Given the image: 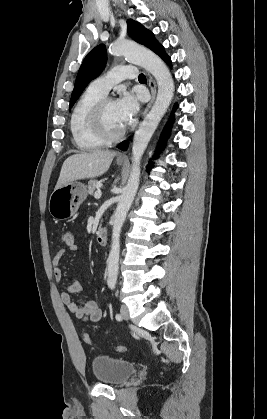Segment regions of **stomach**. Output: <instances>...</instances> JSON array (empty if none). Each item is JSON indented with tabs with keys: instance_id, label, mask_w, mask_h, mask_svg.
<instances>
[{
	"instance_id": "stomach-1",
	"label": "stomach",
	"mask_w": 267,
	"mask_h": 419,
	"mask_svg": "<svg viewBox=\"0 0 267 419\" xmlns=\"http://www.w3.org/2000/svg\"><path fill=\"white\" fill-rule=\"evenodd\" d=\"M123 163V161L117 160L118 165ZM86 197V186L81 182L72 181L52 192L49 199V212L54 219H68L75 215Z\"/></svg>"
}]
</instances>
